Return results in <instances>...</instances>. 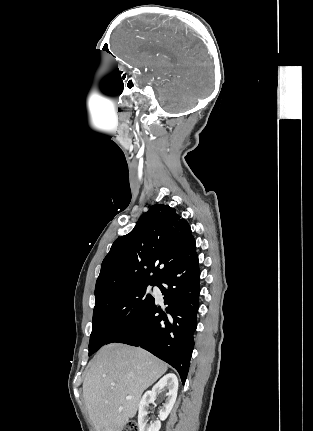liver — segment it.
I'll return each instance as SVG.
<instances>
[{
  "instance_id": "1",
  "label": "liver",
  "mask_w": 313,
  "mask_h": 431,
  "mask_svg": "<svg viewBox=\"0 0 313 431\" xmlns=\"http://www.w3.org/2000/svg\"><path fill=\"white\" fill-rule=\"evenodd\" d=\"M166 371L164 362L142 348L121 343L102 347L83 382L84 402L96 431H122L135 416L143 392Z\"/></svg>"
}]
</instances>
